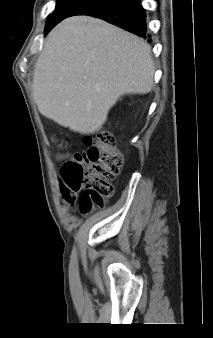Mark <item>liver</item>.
Returning a JSON list of instances; mask_svg holds the SVG:
<instances>
[{
    "label": "liver",
    "mask_w": 213,
    "mask_h": 338,
    "mask_svg": "<svg viewBox=\"0 0 213 338\" xmlns=\"http://www.w3.org/2000/svg\"><path fill=\"white\" fill-rule=\"evenodd\" d=\"M154 72L151 47L143 39L100 19L70 17L45 40L33 97L43 116L93 134L121 96L152 90Z\"/></svg>",
    "instance_id": "liver-1"
}]
</instances>
